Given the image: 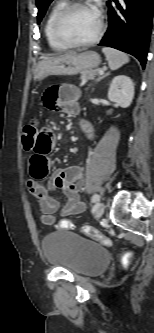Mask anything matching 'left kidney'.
I'll return each instance as SVG.
<instances>
[{"label":"left kidney","mask_w":154,"mask_h":333,"mask_svg":"<svg viewBox=\"0 0 154 333\" xmlns=\"http://www.w3.org/2000/svg\"><path fill=\"white\" fill-rule=\"evenodd\" d=\"M134 97V84L132 80L125 76H116L109 87L108 99L118 106L127 108L131 105Z\"/></svg>","instance_id":"left-kidney-1"}]
</instances>
